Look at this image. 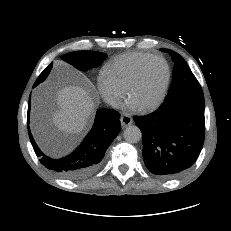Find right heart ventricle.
<instances>
[{
    "label": "right heart ventricle",
    "instance_id": "right-heart-ventricle-1",
    "mask_svg": "<svg viewBox=\"0 0 231 231\" xmlns=\"http://www.w3.org/2000/svg\"><path fill=\"white\" fill-rule=\"evenodd\" d=\"M151 56L142 52L122 54L107 63L103 71L126 90L139 66Z\"/></svg>",
    "mask_w": 231,
    "mask_h": 231
}]
</instances>
